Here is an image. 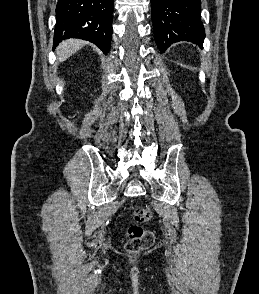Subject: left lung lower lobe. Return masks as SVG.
I'll use <instances>...</instances> for the list:
<instances>
[{"label":"left lung lower lobe","mask_w":259,"mask_h":294,"mask_svg":"<svg viewBox=\"0 0 259 294\" xmlns=\"http://www.w3.org/2000/svg\"><path fill=\"white\" fill-rule=\"evenodd\" d=\"M200 6L201 0H151L154 36L161 52L178 41L202 46L205 29Z\"/></svg>","instance_id":"0a47b994"}]
</instances>
